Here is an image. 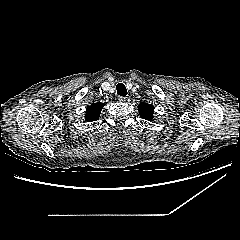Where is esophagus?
I'll return each mask as SVG.
<instances>
[{
    "instance_id": "esophagus-1",
    "label": "esophagus",
    "mask_w": 240,
    "mask_h": 240,
    "mask_svg": "<svg viewBox=\"0 0 240 240\" xmlns=\"http://www.w3.org/2000/svg\"><path fill=\"white\" fill-rule=\"evenodd\" d=\"M118 100H119L120 102H125V101L127 100V97H126V96H119V97H118Z\"/></svg>"
}]
</instances>
